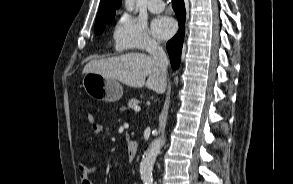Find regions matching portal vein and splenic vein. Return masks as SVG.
I'll return each instance as SVG.
<instances>
[{
    "mask_svg": "<svg viewBox=\"0 0 293 184\" xmlns=\"http://www.w3.org/2000/svg\"><path fill=\"white\" fill-rule=\"evenodd\" d=\"M133 109H134V111L137 112V111H140L141 108L138 105H136Z\"/></svg>",
    "mask_w": 293,
    "mask_h": 184,
    "instance_id": "18ae733b",
    "label": "portal vein and splenic vein"
}]
</instances>
